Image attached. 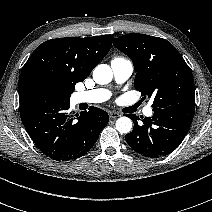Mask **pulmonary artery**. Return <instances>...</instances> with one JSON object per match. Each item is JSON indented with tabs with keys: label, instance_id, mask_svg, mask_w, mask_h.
I'll list each match as a JSON object with an SVG mask.
<instances>
[{
	"label": "pulmonary artery",
	"instance_id": "obj_1",
	"mask_svg": "<svg viewBox=\"0 0 212 212\" xmlns=\"http://www.w3.org/2000/svg\"><path fill=\"white\" fill-rule=\"evenodd\" d=\"M111 69L114 75L116 83L122 84L129 79L133 73V64L130 60L125 58H114L111 61ZM111 96V92L107 89L100 88L90 91L77 92L73 96V101L75 104L80 103H102L107 101ZM143 114L147 117L153 115V109L150 105L143 109Z\"/></svg>",
	"mask_w": 212,
	"mask_h": 212
}]
</instances>
